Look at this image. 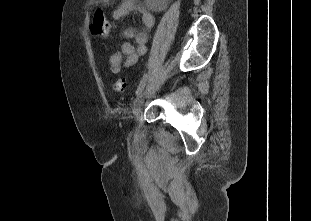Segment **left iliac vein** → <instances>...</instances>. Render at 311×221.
<instances>
[{
    "label": "left iliac vein",
    "instance_id": "obj_1",
    "mask_svg": "<svg viewBox=\"0 0 311 221\" xmlns=\"http://www.w3.org/2000/svg\"><path fill=\"white\" fill-rule=\"evenodd\" d=\"M151 88H152V86H148L145 90H143L139 94V96L134 101V104H133V114H134L136 119H138L140 117L143 103L145 101V98L149 94Z\"/></svg>",
    "mask_w": 311,
    "mask_h": 221
}]
</instances>
